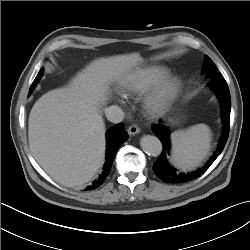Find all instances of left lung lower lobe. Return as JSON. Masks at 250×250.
I'll use <instances>...</instances> for the list:
<instances>
[{
  "mask_svg": "<svg viewBox=\"0 0 250 250\" xmlns=\"http://www.w3.org/2000/svg\"><path fill=\"white\" fill-rule=\"evenodd\" d=\"M208 85L212 87V89L216 92L217 96L221 102V113L222 120L224 125V131L221 136L220 142L218 144V148L211 159L207 162L205 166L201 169L194 171L192 173L183 174L179 173L178 170L173 168L168 163V157L170 154V138H169V130L166 126L158 124L152 126L153 132L162 142L163 150L159 158L153 165L154 173L163 181L168 183H181L191 181L199 176H201L214 162V160L220 155L222 152L229 135V124H230V110H231V99L229 88L226 81L220 77L212 78Z\"/></svg>",
  "mask_w": 250,
  "mask_h": 250,
  "instance_id": "0a47b994",
  "label": "left lung lower lobe"
}]
</instances>
